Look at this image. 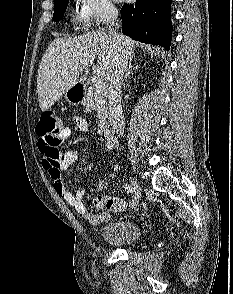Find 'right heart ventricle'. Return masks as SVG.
<instances>
[{"label":"right heart ventricle","mask_w":233,"mask_h":294,"mask_svg":"<svg viewBox=\"0 0 233 294\" xmlns=\"http://www.w3.org/2000/svg\"><path fill=\"white\" fill-rule=\"evenodd\" d=\"M76 20L81 21L79 15L76 16Z\"/></svg>","instance_id":"e07e8e85"}]
</instances>
